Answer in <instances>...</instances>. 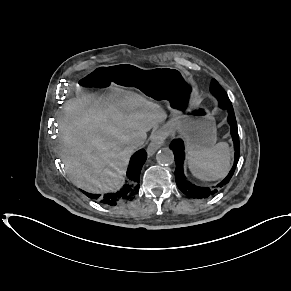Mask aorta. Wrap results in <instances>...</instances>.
Segmentation results:
<instances>
[{
  "label": "aorta",
  "mask_w": 291,
  "mask_h": 291,
  "mask_svg": "<svg viewBox=\"0 0 291 291\" xmlns=\"http://www.w3.org/2000/svg\"><path fill=\"white\" fill-rule=\"evenodd\" d=\"M156 160L161 165H171L174 162V154L170 148H162L156 154Z\"/></svg>",
  "instance_id": "obj_1"
}]
</instances>
